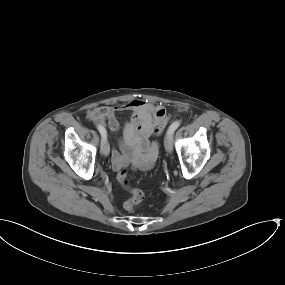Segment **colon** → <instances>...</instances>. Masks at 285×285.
I'll list each match as a JSON object with an SVG mask.
<instances>
[{
  "instance_id": "1",
  "label": "colon",
  "mask_w": 285,
  "mask_h": 285,
  "mask_svg": "<svg viewBox=\"0 0 285 285\" xmlns=\"http://www.w3.org/2000/svg\"><path fill=\"white\" fill-rule=\"evenodd\" d=\"M158 116L160 117V119L157 121L155 130V133L157 135H159L163 131L169 119V116L165 114L164 108L160 110ZM117 180L119 184L126 188L131 194V197L127 201H125L124 208L127 211H132L135 206L143 200L144 194L140 189L133 188L130 186L128 179V170L126 168H121L120 170H118Z\"/></svg>"
}]
</instances>
